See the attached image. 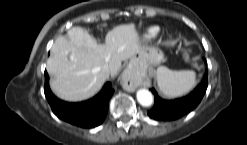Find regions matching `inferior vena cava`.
<instances>
[{
    "label": "inferior vena cava",
    "instance_id": "inferior-vena-cava-1",
    "mask_svg": "<svg viewBox=\"0 0 247 145\" xmlns=\"http://www.w3.org/2000/svg\"><path fill=\"white\" fill-rule=\"evenodd\" d=\"M104 72H105L106 75H108L109 74V69L108 68H104Z\"/></svg>",
    "mask_w": 247,
    "mask_h": 145
}]
</instances>
